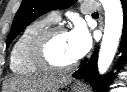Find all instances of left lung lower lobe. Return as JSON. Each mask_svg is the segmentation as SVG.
<instances>
[{"label": "left lung lower lobe", "instance_id": "1", "mask_svg": "<svg viewBox=\"0 0 127 92\" xmlns=\"http://www.w3.org/2000/svg\"><path fill=\"white\" fill-rule=\"evenodd\" d=\"M123 13H124V27L122 36V56L121 59L127 58V0H121ZM73 77L78 79H84L88 81L90 85L99 92H106L108 85L110 84V77L99 76L97 71V50L93 53L88 64L82 66L77 70Z\"/></svg>", "mask_w": 127, "mask_h": 92}]
</instances>
